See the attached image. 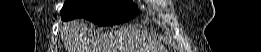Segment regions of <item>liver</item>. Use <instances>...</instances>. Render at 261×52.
I'll return each mask as SVG.
<instances>
[{"label": "liver", "mask_w": 261, "mask_h": 52, "mask_svg": "<svg viewBox=\"0 0 261 52\" xmlns=\"http://www.w3.org/2000/svg\"><path fill=\"white\" fill-rule=\"evenodd\" d=\"M88 26L83 20L69 22L65 33L71 41V46L78 52H110L113 36L109 33L100 34L87 39Z\"/></svg>", "instance_id": "liver-1"}]
</instances>
